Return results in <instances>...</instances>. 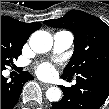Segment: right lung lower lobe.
<instances>
[{"mask_svg":"<svg viewBox=\"0 0 109 109\" xmlns=\"http://www.w3.org/2000/svg\"><path fill=\"white\" fill-rule=\"evenodd\" d=\"M30 79H33V76L26 71H22L10 82L1 74V109H12L16 105L23 84Z\"/></svg>","mask_w":109,"mask_h":109,"instance_id":"1","label":"right lung lower lobe"}]
</instances>
